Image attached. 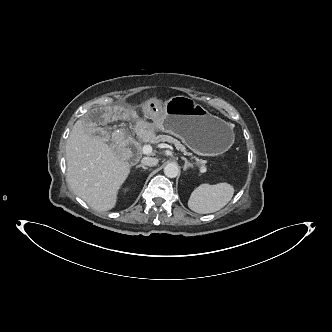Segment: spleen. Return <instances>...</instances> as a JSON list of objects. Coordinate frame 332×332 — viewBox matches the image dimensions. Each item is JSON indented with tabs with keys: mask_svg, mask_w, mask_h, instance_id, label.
Masks as SVG:
<instances>
[{
	"mask_svg": "<svg viewBox=\"0 0 332 332\" xmlns=\"http://www.w3.org/2000/svg\"><path fill=\"white\" fill-rule=\"evenodd\" d=\"M234 188L228 183L216 185L201 184L191 193L188 207L200 214H208L222 209L233 197Z\"/></svg>",
	"mask_w": 332,
	"mask_h": 332,
	"instance_id": "spleen-1",
	"label": "spleen"
}]
</instances>
